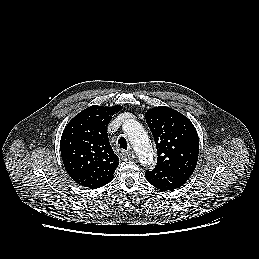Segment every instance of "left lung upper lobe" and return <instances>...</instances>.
<instances>
[{
  "label": "left lung upper lobe",
  "mask_w": 259,
  "mask_h": 259,
  "mask_svg": "<svg viewBox=\"0 0 259 259\" xmlns=\"http://www.w3.org/2000/svg\"><path fill=\"white\" fill-rule=\"evenodd\" d=\"M145 116L157 147V164L153 171H171L188 180L199 154L198 134L192 122L164 106L149 109Z\"/></svg>",
  "instance_id": "1"
}]
</instances>
